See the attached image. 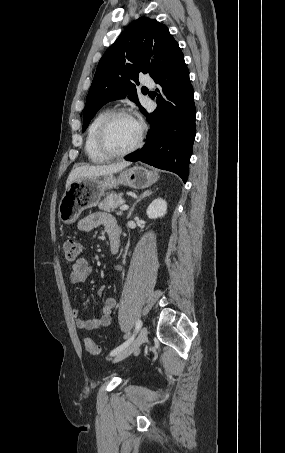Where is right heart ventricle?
I'll use <instances>...</instances> for the list:
<instances>
[{
    "mask_svg": "<svg viewBox=\"0 0 285 453\" xmlns=\"http://www.w3.org/2000/svg\"><path fill=\"white\" fill-rule=\"evenodd\" d=\"M109 113L110 111L108 109L99 111L91 120L86 131L84 150L88 160L94 164L103 163L108 159V157L102 154L98 149L96 137L100 124Z\"/></svg>",
    "mask_w": 285,
    "mask_h": 453,
    "instance_id": "e07e8e85",
    "label": "right heart ventricle"
}]
</instances>
